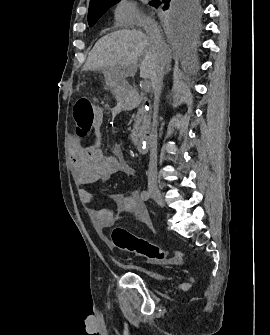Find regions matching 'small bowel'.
Masks as SVG:
<instances>
[{"label": "small bowel", "instance_id": "1", "mask_svg": "<svg viewBox=\"0 0 270 335\" xmlns=\"http://www.w3.org/2000/svg\"><path fill=\"white\" fill-rule=\"evenodd\" d=\"M103 124L104 113L98 107L94 111V141L86 147H81L75 142L70 151V171L74 182L78 185V197L86 205L93 225L101 236H105L107 229L114 226L116 219L114 208L120 212L134 214L142 223L150 222L147 208L137 190L130 195L109 193L106 195L104 204L100 208H95L93 203L97 199L96 196L82 187L84 184L107 180L117 173L130 177L136 176V171L127 163L120 147H115L110 155L102 151Z\"/></svg>", "mask_w": 270, "mask_h": 335}]
</instances>
